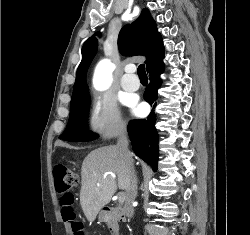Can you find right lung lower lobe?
I'll return each mask as SVG.
<instances>
[{
  "label": "right lung lower lobe",
  "instance_id": "1",
  "mask_svg": "<svg viewBox=\"0 0 250 235\" xmlns=\"http://www.w3.org/2000/svg\"><path fill=\"white\" fill-rule=\"evenodd\" d=\"M164 48L149 62L146 69L150 75V84L146 87L144 99L157 105V90L162 84L160 75L163 73ZM156 114L151 111L147 119L134 120L128 125V132L135 154L157 170L158 160V134L155 128Z\"/></svg>",
  "mask_w": 250,
  "mask_h": 235
}]
</instances>
